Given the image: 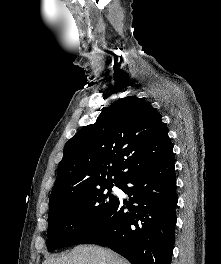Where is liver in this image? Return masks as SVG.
Listing matches in <instances>:
<instances>
[{
  "label": "liver",
  "mask_w": 221,
  "mask_h": 264,
  "mask_svg": "<svg viewBox=\"0 0 221 264\" xmlns=\"http://www.w3.org/2000/svg\"><path fill=\"white\" fill-rule=\"evenodd\" d=\"M42 264H130L109 249L77 246L70 253L47 257Z\"/></svg>",
  "instance_id": "6515ba94"
}]
</instances>
